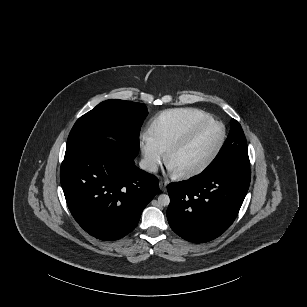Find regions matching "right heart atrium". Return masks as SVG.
<instances>
[{
	"label": "right heart atrium",
	"instance_id": "1",
	"mask_svg": "<svg viewBox=\"0 0 307 307\" xmlns=\"http://www.w3.org/2000/svg\"><path fill=\"white\" fill-rule=\"evenodd\" d=\"M139 145L144 168L151 173L156 172L163 162V151L152 139L145 135L140 136Z\"/></svg>",
	"mask_w": 307,
	"mask_h": 307
}]
</instances>
